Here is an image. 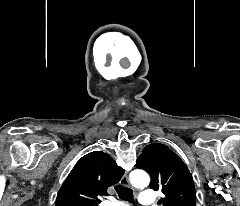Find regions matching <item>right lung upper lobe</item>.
Returning a JSON list of instances; mask_svg holds the SVG:
<instances>
[{
	"label": "right lung upper lobe",
	"instance_id": "right-lung-upper-lobe-1",
	"mask_svg": "<svg viewBox=\"0 0 240 206\" xmlns=\"http://www.w3.org/2000/svg\"><path fill=\"white\" fill-rule=\"evenodd\" d=\"M124 170L102 151L83 156L58 192L55 206H97L107 188L117 184Z\"/></svg>",
	"mask_w": 240,
	"mask_h": 206
}]
</instances>
